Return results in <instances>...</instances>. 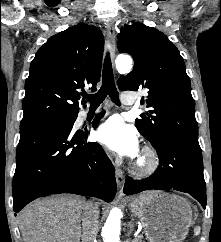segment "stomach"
<instances>
[{
  "mask_svg": "<svg viewBox=\"0 0 221 242\" xmlns=\"http://www.w3.org/2000/svg\"><path fill=\"white\" fill-rule=\"evenodd\" d=\"M149 242H181L192 222L188 201L162 191H147L129 200Z\"/></svg>",
  "mask_w": 221,
  "mask_h": 242,
  "instance_id": "obj_1",
  "label": "stomach"
}]
</instances>
